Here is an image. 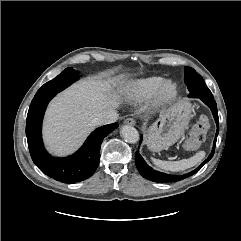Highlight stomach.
<instances>
[{"label":"stomach","instance_id":"obj_1","mask_svg":"<svg viewBox=\"0 0 241 241\" xmlns=\"http://www.w3.org/2000/svg\"><path fill=\"white\" fill-rule=\"evenodd\" d=\"M192 106L183 99L163 111L146 130V144L152 151H161L176 143L191 118Z\"/></svg>","mask_w":241,"mask_h":241}]
</instances>
